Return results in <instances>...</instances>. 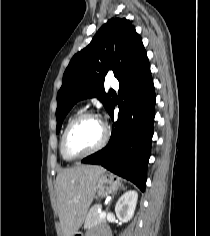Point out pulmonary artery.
Returning <instances> with one entry per match:
<instances>
[{"label":"pulmonary artery","instance_id":"pulmonary-artery-1","mask_svg":"<svg viewBox=\"0 0 210 236\" xmlns=\"http://www.w3.org/2000/svg\"><path fill=\"white\" fill-rule=\"evenodd\" d=\"M109 84H110L111 87H113V88H115V89H117L118 86H119L118 80H117L116 78H114V77H111V78L109 79Z\"/></svg>","mask_w":210,"mask_h":236}]
</instances>
